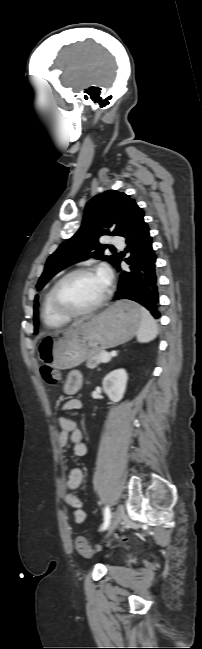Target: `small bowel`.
Returning <instances> with one entry per match:
<instances>
[{"label":"small bowel","instance_id":"c3829d8e","mask_svg":"<svg viewBox=\"0 0 202 649\" xmlns=\"http://www.w3.org/2000/svg\"><path fill=\"white\" fill-rule=\"evenodd\" d=\"M83 375L80 371H72L68 374L64 383L63 389L67 394L76 393L82 386ZM82 407L79 399L71 398L63 404V411L73 412L78 411ZM60 431L58 434V445L64 450L69 442L73 443V453L77 457H83L87 454V445L82 441V432L77 428L75 422L65 416L59 420ZM61 462H64L65 456L63 452L60 455ZM83 482V472L80 468L74 467L70 470L69 475L65 482L66 490H75L81 486ZM66 503L73 508V514L77 523H82L86 520V514L82 510V502L75 495L68 494L65 497Z\"/></svg>","mask_w":202,"mask_h":649}]
</instances>
